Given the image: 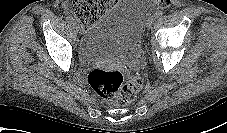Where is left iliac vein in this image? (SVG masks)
<instances>
[{
  "instance_id": "4c4485c4",
  "label": "left iliac vein",
  "mask_w": 227,
  "mask_h": 133,
  "mask_svg": "<svg viewBox=\"0 0 227 133\" xmlns=\"http://www.w3.org/2000/svg\"><path fill=\"white\" fill-rule=\"evenodd\" d=\"M154 20H155V17H154V16H152V17H150V18L148 19V21H147V23H146V27H147L148 29H150V28L152 27V24H153Z\"/></svg>"
}]
</instances>
